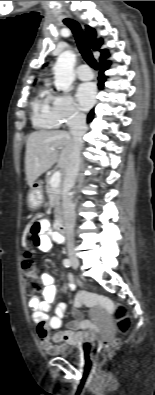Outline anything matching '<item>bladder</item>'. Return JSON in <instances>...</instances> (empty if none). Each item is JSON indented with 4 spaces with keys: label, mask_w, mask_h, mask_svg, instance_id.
Instances as JSON below:
<instances>
[{
    "label": "bladder",
    "mask_w": 155,
    "mask_h": 395,
    "mask_svg": "<svg viewBox=\"0 0 155 395\" xmlns=\"http://www.w3.org/2000/svg\"><path fill=\"white\" fill-rule=\"evenodd\" d=\"M55 352L57 355L71 361H79L83 355V351L80 348L69 344L59 346Z\"/></svg>",
    "instance_id": "obj_1"
}]
</instances>
